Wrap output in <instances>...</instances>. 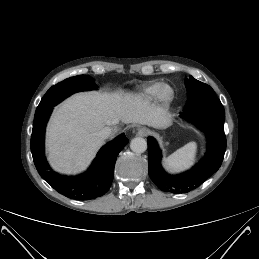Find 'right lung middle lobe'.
Returning a JSON list of instances; mask_svg holds the SVG:
<instances>
[{"label": "right lung middle lobe", "instance_id": "right-lung-middle-lobe-1", "mask_svg": "<svg viewBox=\"0 0 259 259\" xmlns=\"http://www.w3.org/2000/svg\"><path fill=\"white\" fill-rule=\"evenodd\" d=\"M93 89H96V86L91 77L87 75H78L67 78L52 86L46 92L36 109V113H39L47 108L54 107L75 92Z\"/></svg>", "mask_w": 259, "mask_h": 259}]
</instances>
